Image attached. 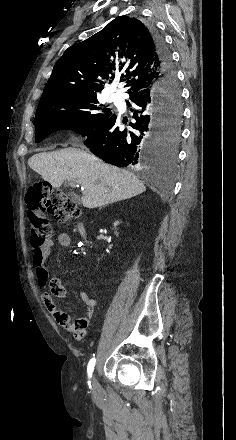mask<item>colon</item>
<instances>
[{"mask_svg": "<svg viewBox=\"0 0 236 440\" xmlns=\"http://www.w3.org/2000/svg\"><path fill=\"white\" fill-rule=\"evenodd\" d=\"M25 200L31 225V243L34 247L44 244L53 234L47 214L53 215L61 223L81 216V210L71 197L47 183L30 187ZM61 321L71 320L67 318Z\"/></svg>", "mask_w": 236, "mask_h": 440, "instance_id": "1", "label": "colon"}]
</instances>
